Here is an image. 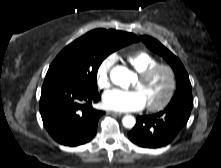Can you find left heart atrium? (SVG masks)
Segmentation results:
<instances>
[{"label":"left heart atrium","mask_w":221,"mask_h":168,"mask_svg":"<svg viewBox=\"0 0 221 168\" xmlns=\"http://www.w3.org/2000/svg\"><path fill=\"white\" fill-rule=\"evenodd\" d=\"M105 108L118 112L137 111L145 107L146 102L142 93L135 90L112 89L104 93Z\"/></svg>","instance_id":"obj_1"}]
</instances>
